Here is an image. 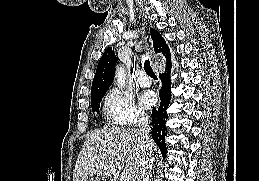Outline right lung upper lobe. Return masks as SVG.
<instances>
[{"mask_svg":"<svg viewBox=\"0 0 259 181\" xmlns=\"http://www.w3.org/2000/svg\"><path fill=\"white\" fill-rule=\"evenodd\" d=\"M150 35L153 40L155 53L163 54L166 60H168L170 58V50L164 38L154 29H150ZM115 62L116 57L114 49L109 47L104 52L98 63L96 74L92 83L91 98L106 93L114 79Z\"/></svg>","mask_w":259,"mask_h":181,"instance_id":"cb5924a9","label":"right lung upper lobe"}]
</instances>
